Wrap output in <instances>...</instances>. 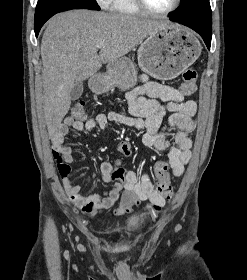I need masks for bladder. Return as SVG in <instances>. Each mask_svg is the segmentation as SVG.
<instances>
[{
	"mask_svg": "<svg viewBox=\"0 0 247 280\" xmlns=\"http://www.w3.org/2000/svg\"><path fill=\"white\" fill-rule=\"evenodd\" d=\"M109 229H110V230H115L116 228H115V227H110Z\"/></svg>",
	"mask_w": 247,
	"mask_h": 280,
	"instance_id": "31cf9c89",
	"label": "bladder"
}]
</instances>
